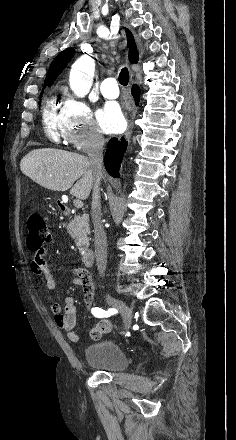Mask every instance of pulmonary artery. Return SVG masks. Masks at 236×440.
Segmentation results:
<instances>
[{
    "label": "pulmonary artery",
    "instance_id": "1",
    "mask_svg": "<svg viewBox=\"0 0 236 440\" xmlns=\"http://www.w3.org/2000/svg\"><path fill=\"white\" fill-rule=\"evenodd\" d=\"M100 90L102 95L109 99L117 98L119 95L117 81L113 77L105 78L101 83Z\"/></svg>",
    "mask_w": 236,
    "mask_h": 440
}]
</instances>
